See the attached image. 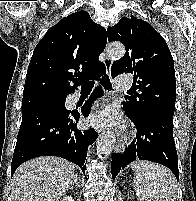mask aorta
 Masks as SVG:
<instances>
[{"mask_svg": "<svg viewBox=\"0 0 196 201\" xmlns=\"http://www.w3.org/2000/svg\"><path fill=\"white\" fill-rule=\"evenodd\" d=\"M107 53L112 58H122L125 54V47L120 43L110 44L107 47ZM115 141V136L112 133H107L104 136L100 137L96 144L97 155L101 159L108 158L113 150Z\"/></svg>", "mask_w": 196, "mask_h": 201, "instance_id": "1", "label": "aorta"}]
</instances>
